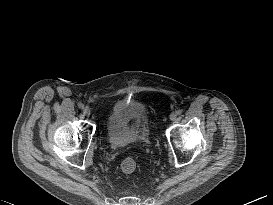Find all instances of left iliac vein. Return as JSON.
Masks as SVG:
<instances>
[{"instance_id": "4c4485c4", "label": "left iliac vein", "mask_w": 273, "mask_h": 205, "mask_svg": "<svg viewBox=\"0 0 273 205\" xmlns=\"http://www.w3.org/2000/svg\"><path fill=\"white\" fill-rule=\"evenodd\" d=\"M176 118H177L176 113H171V114H170V119H171L172 121H175Z\"/></svg>"}]
</instances>
